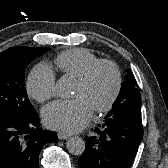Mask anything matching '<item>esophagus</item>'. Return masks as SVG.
Wrapping results in <instances>:
<instances>
[{
    "mask_svg": "<svg viewBox=\"0 0 168 168\" xmlns=\"http://www.w3.org/2000/svg\"><path fill=\"white\" fill-rule=\"evenodd\" d=\"M69 137H70L69 134H66V133H63V132H59V133H58V138H59L60 140H66V139H68Z\"/></svg>",
    "mask_w": 168,
    "mask_h": 168,
    "instance_id": "34e87169",
    "label": "esophagus"
}]
</instances>
